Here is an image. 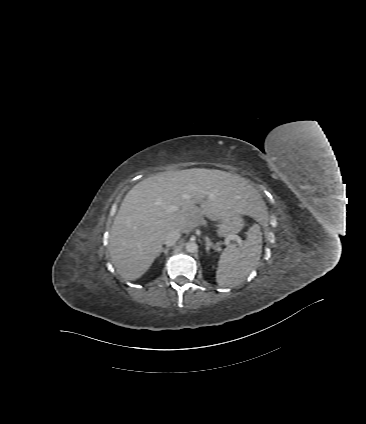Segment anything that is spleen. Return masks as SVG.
<instances>
[{
	"label": "spleen",
	"instance_id": "3e777b00",
	"mask_svg": "<svg viewBox=\"0 0 366 424\" xmlns=\"http://www.w3.org/2000/svg\"><path fill=\"white\" fill-rule=\"evenodd\" d=\"M260 226L254 224L247 232L242 247L228 245L222 252L216 270V281L221 286L235 287L255 269L262 253Z\"/></svg>",
	"mask_w": 366,
	"mask_h": 424
}]
</instances>
